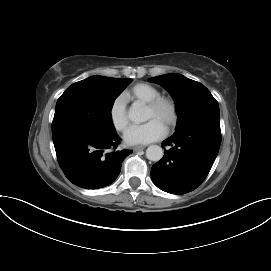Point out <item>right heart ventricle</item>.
I'll return each mask as SVG.
<instances>
[{
	"mask_svg": "<svg viewBox=\"0 0 271 271\" xmlns=\"http://www.w3.org/2000/svg\"><path fill=\"white\" fill-rule=\"evenodd\" d=\"M160 91L149 83H138L124 93L128 100L148 103L152 99L160 96Z\"/></svg>",
	"mask_w": 271,
	"mask_h": 271,
	"instance_id": "1",
	"label": "right heart ventricle"
}]
</instances>
